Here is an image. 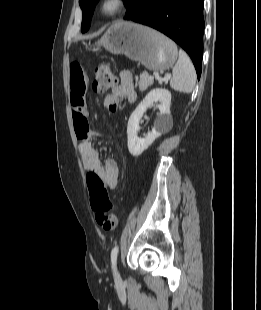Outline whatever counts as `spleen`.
<instances>
[{"label": "spleen", "mask_w": 261, "mask_h": 310, "mask_svg": "<svg viewBox=\"0 0 261 310\" xmlns=\"http://www.w3.org/2000/svg\"><path fill=\"white\" fill-rule=\"evenodd\" d=\"M196 82V71L188 57L183 51H179V59L172 71L170 87L178 92L191 93Z\"/></svg>", "instance_id": "spleen-1"}]
</instances>
